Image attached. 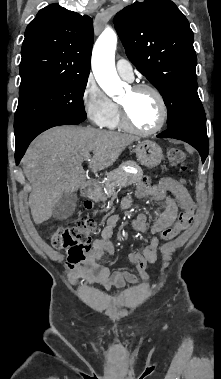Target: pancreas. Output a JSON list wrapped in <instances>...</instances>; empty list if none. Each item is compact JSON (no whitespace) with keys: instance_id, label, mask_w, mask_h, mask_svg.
Returning <instances> with one entry per match:
<instances>
[{"instance_id":"obj_1","label":"pancreas","mask_w":221,"mask_h":379,"mask_svg":"<svg viewBox=\"0 0 221 379\" xmlns=\"http://www.w3.org/2000/svg\"><path fill=\"white\" fill-rule=\"evenodd\" d=\"M124 166L134 167L138 172L129 173L123 170V168L115 169L107 174V178L103 182V187L106 189L109 195L115 193L117 188L126 187L130 184L136 183L143 176V172L140 166L134 161L124 162ZM102 199H105V195L100 193Z\"/></svg>"}]
</instances>
